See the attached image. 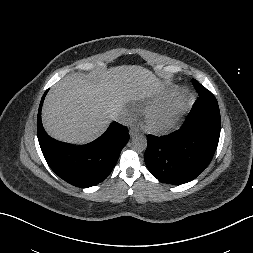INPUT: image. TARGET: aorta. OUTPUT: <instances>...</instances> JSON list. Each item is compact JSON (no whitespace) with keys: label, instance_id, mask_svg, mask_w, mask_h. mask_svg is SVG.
<instances>
[{"label":"aorta","instance_id":"aorta-1","mask_svg":"<svg viewBox=\"0 0 253 253\" xmlns=\"http://www.w3.org/2000/svg\"><path fill=\"white\" fill-rule=\"evenodd\" d=\"M133 148L137 152H143L147 148V138L142 134H137L132 138Z\"/></svg>","mask_w":253,"mask_h":253}]
</instances>
